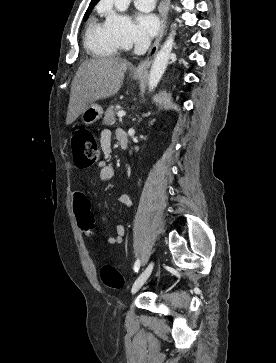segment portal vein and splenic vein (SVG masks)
Returning <instances> with one entry per match:
<instances>
[{
  "mask_svg": "<svg viewBox=\"0 0 276 363\" xmlns=\"http://www.w3.org/2000/svg\"><path fill=\"white\" fill-rule=\"evenodd\" d=\"M125 111H123V110H121V111H119L118 113H117V116L119 117V118H121V117H123V116H125Z\"/></svg>",
  "mask_w": 276,
  "mask_h": 363,
  "instance_id": "obj_1",
  "label": "portal vein and splenic vein"
}]
</instances>
